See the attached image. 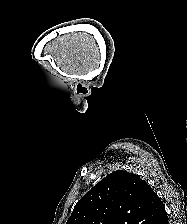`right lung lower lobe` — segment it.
Listing matches in <instances>:
<instances>
[{
	"label": "right lung lower lobe",
	"mask_w": 187,
	"mask_h": 224,
	"mask_svg": "<svg viewBox=\"0 0 187 224\" xmlns=\"http://www.w3.org/2000/svg\"><path fill=\"white\" fill-rule=\"evenodd\" d=\"M162 224H168V219H167V217H166L165 220L162 222Z\"/></svg>",
	"instance_id": "98d812e1"
}]
</instances>
